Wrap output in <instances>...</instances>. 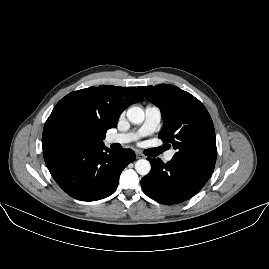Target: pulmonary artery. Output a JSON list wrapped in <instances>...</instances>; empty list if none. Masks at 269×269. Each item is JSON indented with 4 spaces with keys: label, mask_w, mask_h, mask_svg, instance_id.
Returning <instances> with one entry per match:
<instances>
[{
    "label": "pulmonary artery",
    "mask_w": 269,
    "mask_h": 269,
    "mask_svg": "<svg viewBox=\"0 0 269 269\" xmlns=\"http://www.w3.org/2000/svg\"><path fill=\"white\" fill-rule=\"evenodd\" d=\"M161 117L162 114L159 107L148 105L145 108V117L143 125L140 127L139 130L127 134H116L107 137L105 142L106 144H126L135 138L152 134L158 129L161 122ZM174 152V150H170L169 152H167L164 156V161L169 162L172 159Z\"/></svg>",
    "instance_id": "1"
}]
</instances>
